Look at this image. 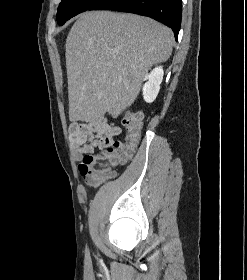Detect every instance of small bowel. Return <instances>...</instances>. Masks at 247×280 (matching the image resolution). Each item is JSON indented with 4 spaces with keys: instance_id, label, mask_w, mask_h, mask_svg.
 <instances>
[{
    "instance_id": "small-bowel-1",
    "label": "small bowel",
    "mask_w": 247,
    "mask_h": 280,
    "mask_svg": "<svg viewBox=\"0 0 247 280\" xmlns=\"http://www.w3.org/2000/svg\"><path fill=\"white\" fill-rule=\"evenodd\" d=\"M69 130L75 159L80 162V173L87 185L96 187L104 179L90 176L82 170L84 158L93 155L96 149L103 150L110 146L115 137L121 133V128L107 118H101L88 123H72Z\"/></svg>"
}]
</instances>
